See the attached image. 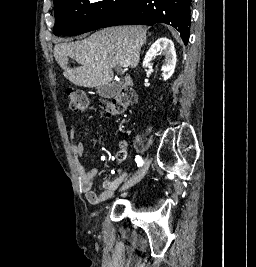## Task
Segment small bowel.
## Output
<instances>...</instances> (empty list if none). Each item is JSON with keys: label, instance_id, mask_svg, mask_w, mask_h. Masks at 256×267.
<instances>
[{"label": "small bowel", "instance_id": "1", "mask_svg": "<svg viewBox=\"0 0 256 267\" xmlns=\"http://www.w3.org/2000/svg\"><path fill=\"white\" fill-rule=\"evenodd\" d=\"M77 126L72 125L70 128V149L74 155V166L79 178L80 188L84 193L86 199L94 205L100 204L108 200L113 192L119 187L124 178L127 176V173L121 174L114 180H104L102 183L103 190L96 192L94 188L93 180L97 175V170L92 168L91 170H86L82 159L84 158V146L81 141H77Z\"/></svg>", "mask_w": 256, "mask_h": 267}]
</instances>
